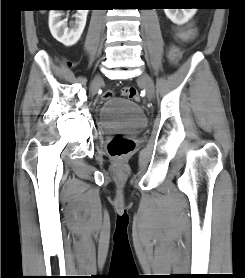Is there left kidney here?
Segmentation results:
<instances>
[{
	"label": "left kidney",
	"mask_w": 245,
	"mask_h": 278,
	"mask_svg": "<svg viewBox=\"0 0 245 278\" xmlns=\"http://www.w3.org/2000/svg\"><path fill=\"white\" fill-rule=\"evenodd\" d=\"M166 16L175 24L182 25L192 18L197 8L192 9H164Z\"/></svg>",
	"instance_id": "5707ae66"
}]
</instances>
